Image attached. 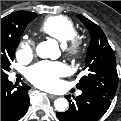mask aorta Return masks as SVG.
Returning a JSON list of instances; mask_svg holds the SVG:
<instances>
[{
  "instance_id": "762f6f07",
  "label": "aorta",
  "mask_w": 121,
  "mask_h": 121,
  "mask_svg": "<svg viewBox=\"0 0 121 121\" xmlns=\"http://www.w3.org/2000/svg\"><path fill=\"white\" fill-rule=\"evenodd\" d=\"M36 53L41 58L56 59L60 55L58 44L55 40H47L39 43ZM54 107L58 112H64L68 108V101L65 98H58L54 101Z\"/></svg>"
}]
</instances>
